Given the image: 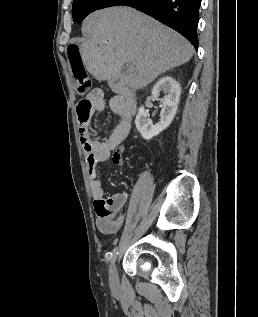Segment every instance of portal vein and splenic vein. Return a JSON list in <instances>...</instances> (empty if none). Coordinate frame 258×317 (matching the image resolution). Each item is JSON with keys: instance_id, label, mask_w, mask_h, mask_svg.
Returning a JSON list of instances; mask_svg holds the SVG:
<instances>
[{"instance_id": "obj_1", "label": "portal vein and splenic vein", "mask_w": 258, "mask_h": 317, "mask_svg": "<svg viewBox=\"0 0 258 317\" xmlns=\"http://www.w3.org/2000/svg\"><path fill=\"white\" fill-rule=\"evenodd\" d=\"M126 66H129V62H126ZM130 68H131V66H130Z\"/></svg>"}]
</instances>
